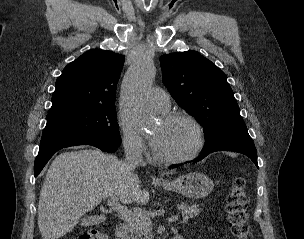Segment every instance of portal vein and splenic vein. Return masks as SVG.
Instances as JSON below:
<instances>
[{"instance_id": "1", "label": "portal vein and splenic vein", "mask_w": 304, "mask_h": 239, "mask_svg": "<svg viewBox=\"0 0 304 239\" xmlns=\"http://www.w3.org/2000/svg\"><path fill=\"white\" fill-rule=\"evenodd\" d=\"M107 202H108V206H110L112 209H114L119 214V216H121L122 218H124L128 222H133L134 220H136L137 218H139L143 214H145V213H137V212H133L131 210H128V208L125 207V206H122L118 202V199L114 196L109 197ZM177 220H178V215H173V216L168 218L169 222H175Z\"/></svg>"}]
</instances>
